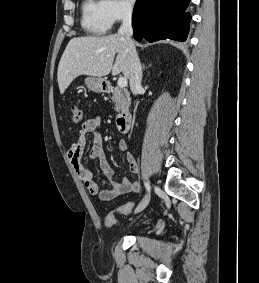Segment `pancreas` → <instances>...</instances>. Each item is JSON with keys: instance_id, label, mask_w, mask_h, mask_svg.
<instances>
[{"instance_id": "pancreas-1", "label": "pancreas", "mask_w": 259, "mask_h": 283, "mask_svg": "<svg viewBox=\"0 0 259 283\" xmlns=\"http://www.w3.org/2000/svg\"><path fill=\"white\" fill-rule=\"evenodd\" d=\"M113 102L117 112L127 110L130 106V96L127 90L115 87L113 90Z\"/></svg>"}]
</instances>
